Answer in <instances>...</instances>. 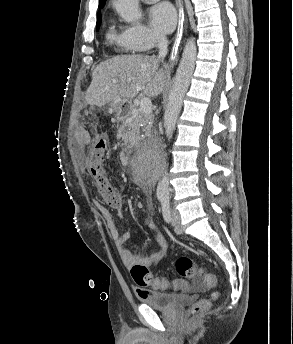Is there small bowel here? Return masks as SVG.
<instances>
[{"label":"small bowel","mask_w":293,"mask_h":344,"mask_svg":"<svg viewBox=\"0 0 293 344\" xmlns=\"http://www.w3.org/2000/svg\"><path fill=\"white\" fill-rule=\"evenodd\" d=\"M75 145L79 152H84L87 147L91 145L98 137L93 135L90 131L84 128H77L74 133ZM125 159V156H122ZM96 207L100 214L106 221V228L109 233L110 238L114 242V245L124 263L128 268L135 265L152 266L159 261H161L167 252L168 244L166 239L156 231V225L154 222H149L148 227L152 230L154 235V247L146 255H138L133 253L126 245L129 240V233H121L117 227V224L112 216V214L99 202L96 203ZM118 216H123V207L120 205L117 207ZM137 292L139 296L145 294V290L138 288Z\"/></svg>","instance_id":"small-bowel-1"}]
</instances>
